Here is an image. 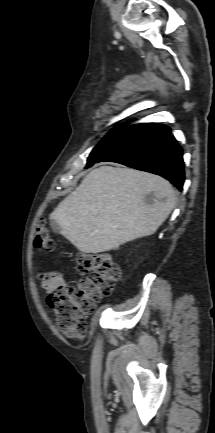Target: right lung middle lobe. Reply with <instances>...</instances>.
<instances>
[{
    "instance_id": "1",
    "label": "right lung middle lobe",
    "mask_w": 215,
    "mask_h": 433,
    "mask_svg": "<svg viewBox=\"0 0 215 433\" xmlns=\"http://www.w3.org/2000/svg\"><path fill=\"white\" fill-rule=\"evenodd\" d=\"M146 124H136L125 127V124L116 126L107 136L92 150L85 168L94 163L101 162L117 153L128 145L145 127Z\"/></svg>"
}]
</instances>
